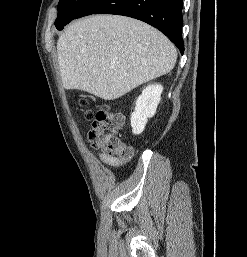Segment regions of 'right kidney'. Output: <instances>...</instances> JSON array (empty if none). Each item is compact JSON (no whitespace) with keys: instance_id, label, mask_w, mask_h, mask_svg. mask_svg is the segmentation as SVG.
Listing matches in <instances>:
<instances>
[{"instance_id":"right-kidney-1","label":"right kidney","mask_w":247,"mask_h":257,"mask_svg":"<svg viewBox=\"0 0 247 257\" xmlns=\"http://www.w3.org/2000/svg\"><path fill=\"white\" fill-rule=\"evenodd\" d=\"M163 87L160 84H150L136 100L135 111L131 114V127L135 135L144 131L148 118L155 115L161 100Z\"/></svg>"}]
</instances>
